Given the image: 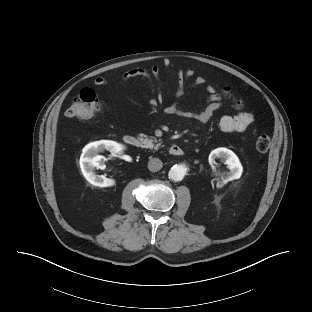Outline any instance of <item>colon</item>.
Segmentation results:
<instances>
[{
	"instance_id": "1",
	"label": "colon",
	"mask_w": 312,
	"mask_h": 312,
	"mask_svg": "<svg viewBox=\"0 0 312 312\" xmlns=\"http://www.w3.org/2000/svg\"><path fill=\"white\" fill-rule=\"evenodd\" d=\"M226 93L232 98L235 107L241 109L242 103L235 99L230 91H226ZM100 110V100L91 89L85 88L73 99L71 105L66 110V116L79 120H90L95 118ZM270 145L271 138L268 135H260L255 143L256 149L259 152L267 151Z\"/></svg>"
}]
</instances>
